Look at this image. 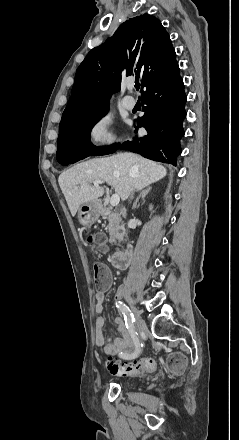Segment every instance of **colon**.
Listing matches in <instances>:
<instances>
[{
	"label": "colon",
	"instance_id": "5ec220e1",
	"mask_svg": "<svg viewBox=\"0 0 239 440\" xmlns=\"http://www.w3.org/2000/svg\"><path fill=\"white\" fill-rule=\"evenodd\" d=\"M89 242L94 247H103L104 236L102 234H94L89 237ZM93 278L97 288H104L108 282V273L105 265L95 263L93 266ZM108 370L119 376H128L151 372L155 369V362L150 358H143L132 362H117L113 360L107 361ZM168 368L173 372H181L184 368V359L180 354H173L168 359Z\"/></svg>",
	"mask_w": 239,
	"mask_h": 440
}]
</instances>
